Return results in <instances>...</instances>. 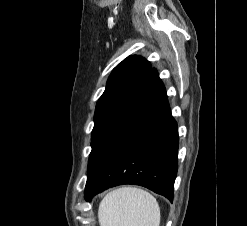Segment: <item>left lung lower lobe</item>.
<instances>
[{
    "label": "left lung lower lobe",
    "instance_id": "0a47b994",
    "mask_svg": "<svg viewBox=\"0 0 247 226\" xmlns=\"http://www.w3.org/2000/svg\"><path fill=\"white\" fill-rule=\"evenodd\" d=\"M178 131L165 87L151 68L92 145L85 199L121 184L144 186L173 200Z\"/></svg>",
    "mask_w": 247,
    "mask_h": 226
}]
</instances>
